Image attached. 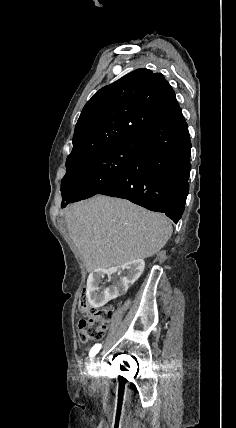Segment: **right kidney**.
<instances>
[{
	"mask_svg": "<svg viewBox=\"0 0 236 428\" xmlns=\"http://www.w3.org/2000/svg\"><path fill=\"white\" fill-rule=\"evenodd\" d=\"M122 270L118 271V282L116 283H100L105 281L110 276L109 269H92L91 274L87 280L86 296L89 304L94 308H100L109 301H113L114 298L127 292L129 286L134 284L141 274L144 272L145 262L138 258V260H132V262H126L123 266H120ZM126 268V270H125ZM97 278L99 283H96ZM126 296L125 294L123 295Z\"/></svg>",
	"mask_w": 236,
	"mask_h": 428,
	"instance_id": "obj_1",
	"label": "right kidney"
}]
</instances>
